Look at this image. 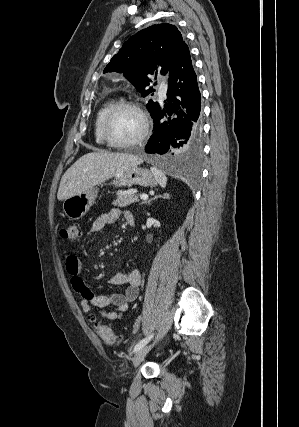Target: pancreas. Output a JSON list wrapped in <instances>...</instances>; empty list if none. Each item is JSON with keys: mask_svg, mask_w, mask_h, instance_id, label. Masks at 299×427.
Masks as SVG:
<instances>
[{"mask_svg": "<svg viewBox=\"0 0 299 427\" xmlns=\"http://www.w3.org/2000/svg\"><path fill=\"white\" fill-rule=\"evenodd\" d=\"M138 201H139L138 195L127 193V192H121L117 194V198L116 200L113 201L112 204L113 206H116V207H126Z\"/></svg>", "mask_w": 299, "mask_h": 427, "instance_id": "1", "label": "pancreas"}]
</instances>
